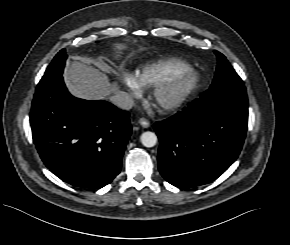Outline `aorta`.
<instances>
[{"label":"aorta","instance_id":"aorta-1","mask_svg":"<svg viewBox=\"0 0 290 245\" xmlns=\"http://www.w3.org/2000/svg\"><path fill=\"white\" fill-rule=\"evenodd\" d=\"M141 143L145 147H154L157 143V136L155 133L146 131L140 137Z\"/></svg>","mask_w":290,"mask_h":245}]
</instances>
